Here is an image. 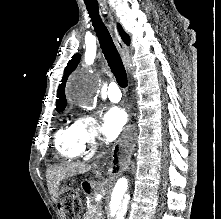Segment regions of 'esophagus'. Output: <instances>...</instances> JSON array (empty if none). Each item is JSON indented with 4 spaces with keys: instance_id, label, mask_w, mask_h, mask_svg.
<instances>
[{
    "instance_id": "1",
    "label": "esophagus",
    "mask_w": 221,
    "mask_h": 219,
    "mask_svg": "<svg viewBox=\"0 0 221 219\" xmlns=\"http://www.w3.org/2000/svg\"><path fill=\"white\" fill-rule=\"evenodd\" d=\"M110 23L113 25L112 17L109 15ZM114 41L115 44L123 58L125 65H127V49L123 41L121 40L120 36L118 35L117 31L114 29Z\"/></svg>"
}]
</instances>
